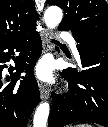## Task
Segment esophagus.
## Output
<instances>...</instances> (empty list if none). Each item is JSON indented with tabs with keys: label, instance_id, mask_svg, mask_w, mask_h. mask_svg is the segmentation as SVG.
Masks as SVG:
<instances>
[{
	"label": "esophagus",
	"instance_id": "34e87169",
	"mask_svg": "<svg viewBox=\"0 0 108 127\" xmlns=\"http://www.w3.org/2000/svg\"><path fill=\"white\" fill-rule=\"evenodd\" d=\"M41 39H42V43H43V52L46 53L49 50H51V43H50L51 33L49 32L48 29L44 28L42 30ZM39 90H40L41 99H43V100L49 99L50 90L45 84L41 83L39 85Z\"/></svg>",
	"mask_w": 108,
	"mask_h": 127
}]
</instances>
